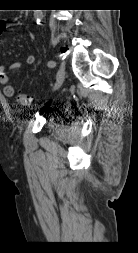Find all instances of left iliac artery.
Instances as JSON below:
<instances>
[{
	"label": "left iliac artery",
	"instance_id": "1",
	"mask_svg": "<svg viewBox=\"0 0 138 253\" xmlns=\"http://www.w3.org/2000/svg\"><path fill=\"white\" fill-rule=\"evenodd\" d=\"M55 66H56V62H55V61L50 60V61L48 62V67H49V68H54Z\"/></svg>",
	"mask_w": 138,
	"mask_h": 253
}]
</instances>
